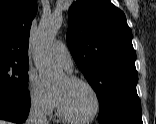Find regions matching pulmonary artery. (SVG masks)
Returning a JSON list of instances; mask_svg holds the SVG:
<instances>
[{
	"label": "pulmonary artery",
	"instance_id": "e3ab8cb5",
	"mask_svg": "<svg viewBox=\"0 0 156 124\" xmlns=\"http://www.w3.org/2000/svg\"><path fill=\"white\" fill-rule=\"evenodd\" d=\"M52 55L54 59L64 67L65 70H72V57L65 44L60 41H56L52 46Z\"/></svg>",
	"mask_w": 156,
	"mask_h": 124
}]
</instances>
